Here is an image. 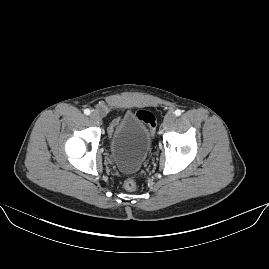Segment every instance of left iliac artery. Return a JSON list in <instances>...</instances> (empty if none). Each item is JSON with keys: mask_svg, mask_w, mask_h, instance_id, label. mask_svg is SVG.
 <instances>
[{"mask_svg": "<svg viewBox=\"0 0 269 269\" xmlns=\"http://www.w3.org/2000/svg\"><path fill=\"white\" fill-rule=\"evenodd\" d=\"M175 115H176V116H180V115H181V110L177 109V110L175 111Z\"/></svg>", "mask_w": 269, "mask_h": 269, "instance_id": "44dca946", "label": "left iliac artery"}]
</instances>
